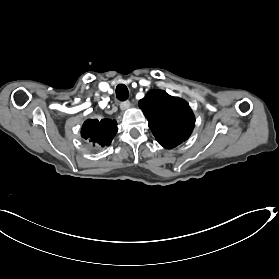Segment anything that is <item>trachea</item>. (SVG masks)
<instances>
[{"label": "trachea", "mask_w": 279, "mask_h": 279, "mask_svg": "<svg viewBox=\"0 0 279 279\" xmlns=\"http://www.w3.org/2000/svg\"><path fill=\"white\" fill-rule=\"evenodd\" d=\"M129 96V91L124 84H119L116 87V97L119 101H125Z\"/></svg>", "instance_id": "trachea-1"}]
</instances>
